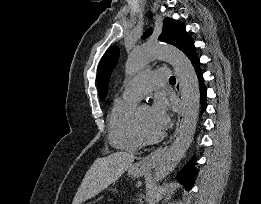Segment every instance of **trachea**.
Here are the masks:
<instances>
[{
  "label": "trachea",
  "mask_w": 261,
  "mask_h": 204,
  "mask_svg": "<svg viewBox=\"0 0 261 204\" xmlns=\"http://www.w3.org/2000/svg\"><path fill=\"white\" fill-rule=\"evenodd\" d=\"M175 81H176L175 77L171 76L169 82H175Z\"/></svg>",
  "instance_id": "obj_1"
}]
</instances>
